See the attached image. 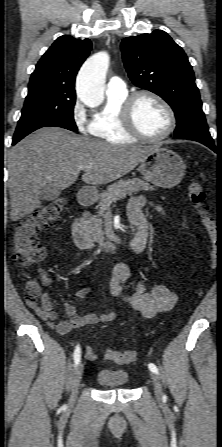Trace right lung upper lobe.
Instances as JSON below:
<instances>
[{"instance_id":"cb5924a9","label":"right lung upper lobe","mask_w":222,"mask_h":447,"mask_svg":"<svg viewBox=\"0 0 222 447\" xmlns=\"http://www.w3.org/2000/svg\"><path fill=\"white\" fill-rule=\"evenodd\" d=\"M91 47L89 39L60 36L37 63L29 81V88L47 85L55 92L76 96V74L88 57Z\"/></svg>"}]
</instances>
